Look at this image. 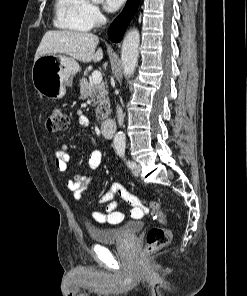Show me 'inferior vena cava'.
Listing matches in <instances>:
<instances>
[{"mask_svg":"<svg viewBox=\"0 0 247 296\" xmlns=\"http://www.w3.org/2000/svg\"><path fill=\"white\" fill-rule=\"evenodd\" d=\"M117 118H118L119 126H122L124 121V114L122 109L119 106H117Z\"/></svg>","mask_w":247,"mask_h":296,"instance_id":"obj_1","label":"inferior vena cava"}]
</instances>
